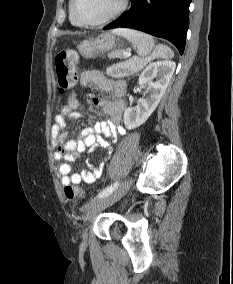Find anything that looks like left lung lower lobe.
Returning <instances> with one entry per match:
<instances>
[{
	"instance_id": "obj_1",
	"label": "left lung lower lobe",
	"mask_w": 233,
	"mask_h": 284,
	"mask_svg": "<svg viewBox=\"0 0 233 284\" xmlns=\"http://www.w3.org/2000/svg\"><path fill=\"white\" fill-rule=\"evenodd\" d=\"M190 3L191 0H132L131 8L104 29H137L169 40L183 54Z\"/></svg>"
}]
</instances>
